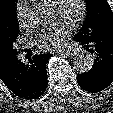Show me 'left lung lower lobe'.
I'll return each mask as SVG.
<instances>
[{
    "instance_id": "left-lung-lower-lobe-1",
    "label": "left lung lower lobe",
    "mask_w": 113,
    "mask_h": 113,
    "mask_svg": "<svg viewBox=\"0 0 113 113\" xmlns=\"http://www.w3.org/2000/svg\"><path fill=\"white\" fill-rule=\"evenodd\" d=\"M73 39L95 58L89 72L77 74L79 86L91 93L104 90L113 82V37L107 35L88 40L87 36L76 34Z\"/></svg>"
}]
</instances>
